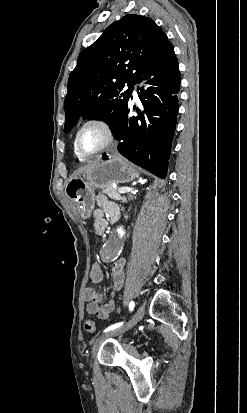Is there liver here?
Instances as JSON below:
<instances>
[{"instance_id":"obj_1","label":"liver","mask_w":247,"mask_h":413,"mask_svg":"<svg viewBox=\"0 0 247 413\" xmlns=\"http://www.w3.org/2000/svg\"><path fill=\"white\" fill-rule=\"evenodd\" d=\"M92 164H85V166H81V168H78V170H75L73 174H71L70 178H76L78 174H82V172H86L88 168H91Z\"/></svg>"}]
</instances>
